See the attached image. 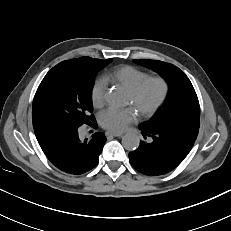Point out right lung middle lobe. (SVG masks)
<instances>
[{
    "label": "right lung middle lobe",
    "instance_id": "1",
    "mask_svg": "<svg viewBox=\"0 0 231 231\" xmlns=\"http://www.w3.org/2000/svg\"><path fill=\"white\" fill-rule=\"evenodd\" d=\"M111 61L78 58L53 67L36 91L32 106L33 127L59 124L79 128L94 122L90 115L94 77Z\"/></svg>",
    "mask_w": 231,
    "mask_h": 231
}]
</instances>
